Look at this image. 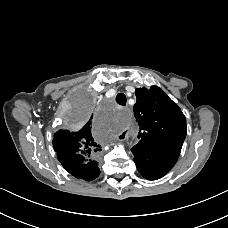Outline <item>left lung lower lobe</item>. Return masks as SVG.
I'll list each match as a JSON object with an SVG mask.
<instances>
[{
	"mask_svg": "<svg viewBox=\"0 0 228 228\" xmlns=\"http://www.w3.org/2000/svg\"><path fill=\"white\" fill-rule=\"evenodd\" d=\"M134 162L140 174L148 180H156L167 174L177 161V157L155 152L131 149Z\"/></svg>",
	"mask_w": 228,
	"mask_h": 228,
	"instance_id": "obj_1",
	"label": "left lung lower lobe"
}]
</instances>
